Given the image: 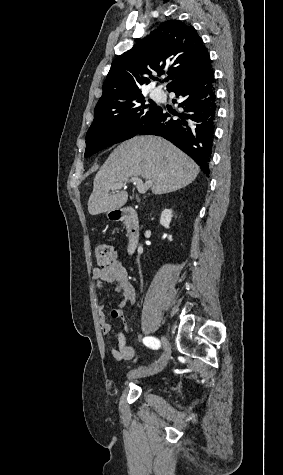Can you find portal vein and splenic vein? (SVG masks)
<instances>
[{
	"label": "portal vein and splenic vein",
	"instance_id": "obj_1",
	"mask_svg": "<svg viewBox=\"0 0 283 475\" xmlns=\"http://www.w3.org/2000/svg\"><path fill=\"white\" fill-rule=\"evenodd\" d=\"M128 182H132V184H134V186H136L139 194H145V192H147V190H149L150 186H152V182H150V180H148V182H146V184H143L142 180H140V178H138V176H134V178H130V180H126V182H124V184H117V186H116L117 190H120V188H123V186H126V184H128Z\"/></svg>",
	"mask_w": 283,
	"mask_h": 475
}]
</instances>
